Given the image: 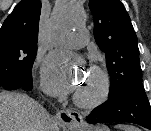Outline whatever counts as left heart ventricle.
Here are the masks:
<instances>
[{"mask_svg":"<svg viewBox=\"0 0 151 131\" xmlns=\"http://www.w3.org/2000/svg\"><path fill=\"white\" fill-rule=\"evenodd\" d=\"M98 87H99L98 78L89 72L85 75L82 83L79 84V87L76 90V94H80L82 96L87 97L96 92Z\"/></svg>","mask_w":151,"mask_h":131,"instance_id":"b2bd125f","label":"left heart ventricle"}]
</instances>
